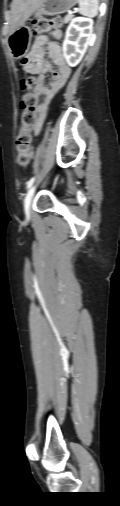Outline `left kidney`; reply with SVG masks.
Here are the masks:
<instances>
[{
	"label": "left kidney",
	"mask_w": 120,
	"mask_h": 506,
	"mask_svg": "<svg viewBox=\"0 0 120 506\" xmlns=\"http://www.w3.org/2000/svg\"><path fill=\"white\" fill-rule=\"evenodd\" d=\"M93 21L84 17L72 19L63 42V55L69 66H76L83 58L92 39Z\"/></svg>",
	"instance_id": "1"
}]
</instances>
